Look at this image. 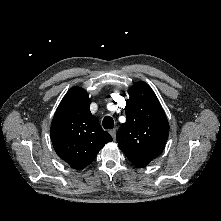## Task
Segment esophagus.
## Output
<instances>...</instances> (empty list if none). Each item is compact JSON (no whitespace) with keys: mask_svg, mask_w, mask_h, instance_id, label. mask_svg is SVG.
Returning a JSON list of instances; mask_svg holds the SVG:
<instances>
[{"mask_svg":"<svg viewBox=\"0 0 221 221\" xmlns=\"http://www.w3.org/2000/svg\"><path fill=\"white\" fill-rule=\"evenodd\" d=\"M109 133H110V135L112 136L113 139L116 138V129H115V128H114V129H111V130L109 131Z\"/></svg>","mask_w":221,"mask_h":221,"instance_id":"obj_1","label":"esophagus"}]
</instances>
